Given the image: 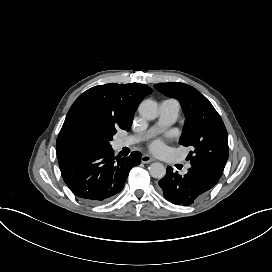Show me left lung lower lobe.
I'll list each match as a JSON object with an SVG mask.
<instances>
[{"instance_id":"1","label":"left lung lower lobe","mask_w":272,"mask_h":272,"mask_svg":"<svg viewBox=\"0 0 272 272\" xmlns=\"http://www.w3.org/2000/svg\"><path fill=\"white\" fill-rule=\"evenodd\" d=\"M220 176L209 169L192 165L184 176L167 167L159 181L163 196L173 204L189 206L203 197L219 181Z\"/></svg>"}]
</instances>
